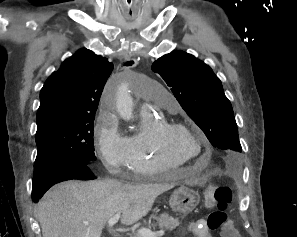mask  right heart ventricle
<instances>
[{
    "instance_id": "right-heart-ventricle-1",
    "label": "right heart ventricle",
    "mask_w": 297,
    "mask_h": 237,
    "mask_svg": "<svg viewBox=\"0 0 297 237\" xmlns=\"http://www.w3.org/2000/svg\"><path fill=\"white\" fill-rule=\"evenodd\" d=\"M142 129L128 138V168L139 176L166 174L183 166V163L165 158L153 143L155 128L165 121L162 116L142 111Z\"/></svg>"
}]
</instances>
